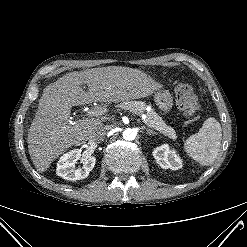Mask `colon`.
<instances>
[{"instance_id": "colon-1", "label": "colon", "mask_w": 247, "mask_h": 247, "mask_svg": "<svg viewBox=\"0 0 247 247\" xmlns=\"http://www.w3.org/2000/svg\"><path fill=\"white\" fill-rule=\"evenodd\" d=\"M176 104L186 116H193L200 109V103L193 87L185 83L179 84L176 88Z\"/></svg>"}]
</instances>
